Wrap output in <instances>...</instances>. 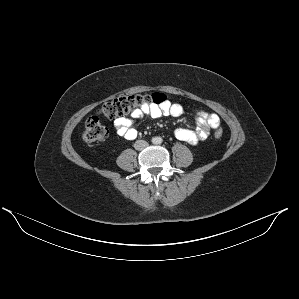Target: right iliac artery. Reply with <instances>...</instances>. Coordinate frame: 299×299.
Segmentation results:
<instances>
[{"mask_svg":"<svg viewBox=\"0 0 299 299\" xmlns=\"http://www.w3.org/2000/svg\"><path fill=\"white\" fill-rule=\"evenodd\" d=\"M152 143H153V144H156V143H157V139H156V138H153V139H152Z\"/></svg>","mask_w":299,"mask_h":299,"instance_id":"obj_1","label":"right iliac artery"}]
</instances>
